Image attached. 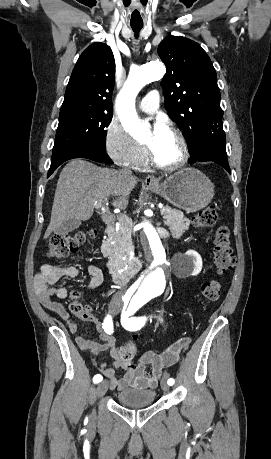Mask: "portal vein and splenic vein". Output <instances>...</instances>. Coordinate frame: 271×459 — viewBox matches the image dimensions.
I'll use <instances>...</instances> for the list:
<instances>
[{
  "mask_svg": "<svg viewBox=\"0 0 271 459\" xmlns=\"http://www.w3.org/2000/svg\"><path fill=\"white\" fill-rule=\"evenodd\" d=\"M162 216H163L164 219H168L171 215L170 214H168V215L167 214H163Z\"/></svg>",
  "mask_w": 271,
  "mask_h": 459,
  "instance_id": "1",
  "label": "portal vein and splenic vein"
}]
</instances>
